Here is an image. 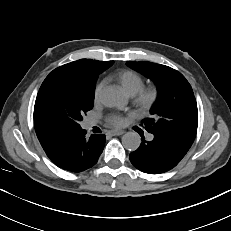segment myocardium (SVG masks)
Wrapping results in <instances>:
<instances>
[{
  "label": "myocardium",
  "mask_w": 231,
  "mask_h": 231,
  "mask_svg": "<svg viewBox=\"0 0 231 231\" xmlns=\"http://www.w3.org/2000/svg\"><path fill=\"white\" fill-rule=\"evenodd\" d=\"M160 89L156 85L142 87L134 95V103L141 110H149L159 99Z\"/></svg>",
  "instance_id": "obj_1"
}]
</instances>
